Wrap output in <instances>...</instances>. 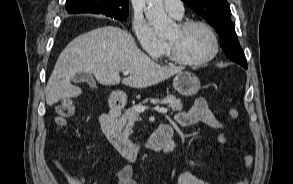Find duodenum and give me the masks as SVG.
Here are the masks:
<instances>
[{
  "label": "duodenum",
  "mask_w": 293,
  "mask_h": 184,
  "mask_svg": "<svg viewBox=\"0 0 293 184\" xmlns=\"http://www.w3.org/2000/svg\"><path fill=\"white\" fill-rule=\"evenodd\" d=\"M126 103L122 94L116 93L109 98V111L100 118L101 129L111 145L125 158L136 160L142 147L122 134L116 125L117 118ZM173 130L168 124H160L152 136L146 141L144 148L151 151L170 152L175 148L172 139Z\"/></svg>",
  "instance_id": "obj_1"
}]
</instances>
